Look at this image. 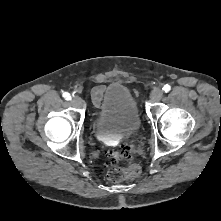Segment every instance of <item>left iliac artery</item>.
I'll return each instance as SVG.
<instances>
[{
	"instance_id": "left-iliac-artery-1",
	"label": "left iliac artery",
	"mask_w": 221,
	"mask_h": 221,
	"mask_svg": "<svg viewBox=\"0 0 221 221\" xmlns=\"http://www.w3.org/2000/svg\"><path fill=\"white\" fill-rule=\"evenodd\" d=\"M170 89H171V88H170L169 85H165V86L163 87V91L166 92V93L169 92Z\"/></svg>"
}]
</instances>
